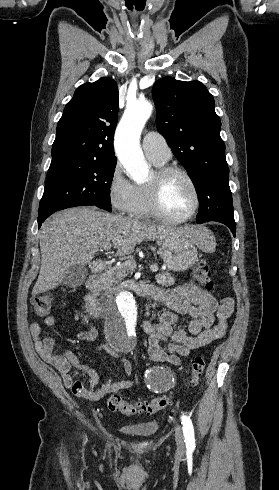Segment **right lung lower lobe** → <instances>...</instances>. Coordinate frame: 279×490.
<instances>
[{
  "instance_id": "obj_1",
  "label": "right lung lower lobe",
  "mask_w": 279,
  "mask_h": 490,
  "mask_svg": "<svg viewBox=\"0 0 279 490\" xmlns=\"http://www.w3.org/2000/svg\"><path fill=\"white\" fill-rule=\"evenodd\" d=\"M88 205H92V204H88V203H77V204H72V205H69V206H66L62 209H66V208H70V207H74V206H88ZM60 209V210H62ZM46 219V218H45ZM44 218H41V219H38V228H40L42 222L45 220Z\"/></svg>"
}]
</instances>
